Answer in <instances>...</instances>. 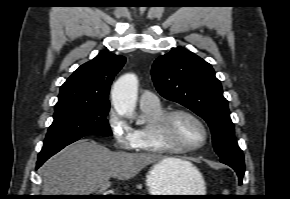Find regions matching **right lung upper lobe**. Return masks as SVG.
<instances>
[{"mask_svg": "<svg viewBox=\"0 0 290 199\" xmlns=\"http://www.w3.org/2000/svg\"><path fill=\"white\" fill-rule=\"evenodd\" d=\"M125 61L124 56L101 51L74 71L61 86L55 108L75 104H109L110 85Z\"/></svg>", "mask_w": 290, "mask_h": 199, "instance_id": "obj_1", "label": "right lung upper lobe"}]
</instances>
